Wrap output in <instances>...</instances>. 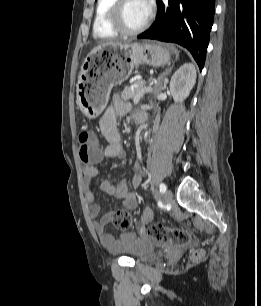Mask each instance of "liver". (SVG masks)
<instances>
[{
  "mask_svg": "<svg viewBox=\"0 0 261 306\" xmlns=\"http://www.w3.org/2000/svg\"><path fill=\"white\" fill-rule=\"evenodd\" d=\"M124 45L122 43L119 42H107V43H103L102 46H121Z\"/></svg>",
  "mask_w": 261,
  "mask_h": 306,
  "instance_id": "1",
  "label": "liver"
}]
</instances>
